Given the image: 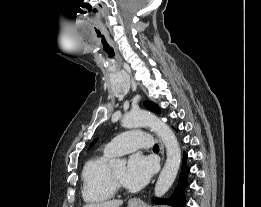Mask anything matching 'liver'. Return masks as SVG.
Wrapping results in <instances>:
<instances>
[{"label":"liver","instance_id":"6515ba94","mask_svg":"<svg viewBox=\"0 0 261 207\" xmlns=\"http://www.w3.org/2000/svg\"><path fill=\"white\" fill-rule=\"evenodd\" d=\"M122 200H110L103 201L99 203L86 204L83 207H120L122 205Z\"/></svg>","mask_w":261,"mask_h":207}]
</instances>
